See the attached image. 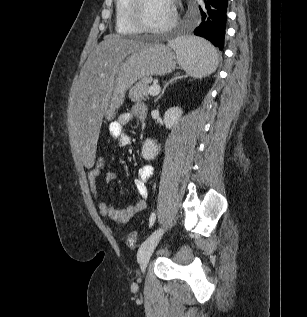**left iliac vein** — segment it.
I'll return each mask as SVG.
<instances>
[{
  "mask_svg": "<svg viewBox=\"0 0 307 317\" xmlns=\"http://www.w3.org/2000/svg\"><path fill=\"white\" fill-rule=\"evenodd\" d=\"M163 228L156 229L140 246L137 254V259L140 264L141 270L144 271L147 267L149 259L159 243L162 235Z\"/></svg>",
  "mask_w": 307,
  "mask_h": 317,
  "instance_id": "obj_1",
  "label": "left iliac vein"
}]
</instances>
